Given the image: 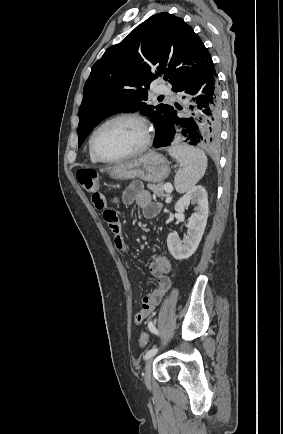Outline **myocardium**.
<instances>
[{
    "label": "myocardium",
    "instance_id": "obj_1",
    "mask_svg": "<svg viewBox=\"0 0 283 434\" xmlns=\"http://www.w3.org/2000/svg\"><path fill=\"white\" fill-rule=\"evenodd\" d=\"M119 120H132L137 122L144 133V138H143V142L142 144L134 151L125 154L123 156L120 157H116V158H106L101 156L94 145V140L95 137L97 135V133L107 124L115 122V121H119ZM152 127L151 124L149 122V120L142 114L137 113V112H125V113H120L117 115H114L112 117L107 118L106 120H104L102 123H100L91 133V136L89 138V149L90 152L92 153V155L100 162L103 163H117V162H121V161H125L131 158H134L140 154H142L143 152H145L151 145L152 142Z\"/></svg>",
    "mask_w": 283,
    "mask_h": 434
}]
</instances>
